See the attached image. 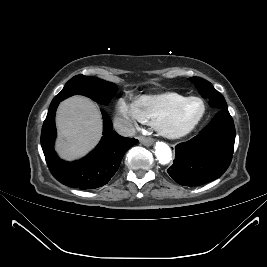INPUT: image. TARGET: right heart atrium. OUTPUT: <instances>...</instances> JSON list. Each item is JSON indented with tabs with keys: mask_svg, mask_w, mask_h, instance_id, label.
Masks as SVG:
<instances>
[{
	"mask_svg": "<svg viewBox=\"0 0 267 267\" xmlns=\"http://www.w3.org/2000/svg\"><path fill=\"white\" fill-rule=\"evenodd\" d=\"M116 116L123 129L129 131L138 124H143L142 119L135 105V102H129L126 98H120L116 103Z\"/></svg>",
	"mask_w": 267,
	"mask_h": 267,
	"instance_id": "obj_1",
	"label": "right heart atrium"
}]
</instances>
